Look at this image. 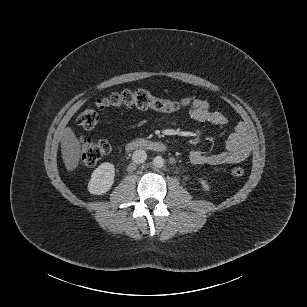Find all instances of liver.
Instances as JSON below:
<instances>
[{
    "label": "liver",
    "mask_w": 307,
    "mask_h": 307,
    "mask_svg": "<svg viewBox=\"0 0 307 307\" xmlns=\"http://www.w3.org/2000/svg\"><path fill=\"white\" fill-rule=\"evenodd\" d=\"M61 153L66 170L69 173L74 172L79 165L81 145L71 126H66L62 130Z\"/></svg>",
    "instance_id": "1"
}]
</instances>
